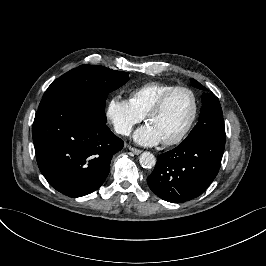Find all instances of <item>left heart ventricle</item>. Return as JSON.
Returning a JSON list of instances; mask_svg holds the SVG:
<instances>
[{"label":"left heart ventricle","instance_id":"b2bd125f","mask_svg":"<svg viewBox=\"0 0 266 266\" xmlns=\"http://www.w3.org/2000/svg\"><path fill=\"white\" fill-rule=\"evenodd\" d=\"M194 104L191 95L184 90L174 92L163 110L152 115L148 122L160 134L162 141L176 138L188 124L193 114Z\"/></svg>","mask_w":266,"mask_h":266}]
</instances>
